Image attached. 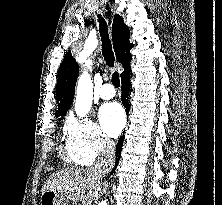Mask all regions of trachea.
Returning <instances> with one entry per match:
<instances>
[{
	"label": "trachea",
	"instance_id": "obj_1",
	"mask_svg": "<svg viewBox=\"0 0 222 205\" xmlns=\"http://www.w3.org/2000/svg\"><path fill=\"white\" fill-rule=\"evenodd\" d=\"M98 18H99V25H100L99 30H100L101 41H102V54L106 62V65L109 66L110 68H113L115 57H114V52L112 50V44L109 39L107 23L105 19L101 17L100 14H98ZM112 84L115 87L120 86L119 74L116 71L112 75Z\"/></svg>",
	"mask_w": 222,
	"mask_h": 205
}]
</instances>
